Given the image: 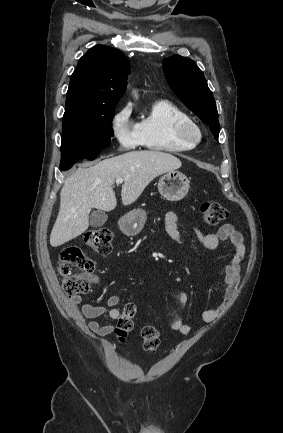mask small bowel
I'll use <instances>...</instances> for the list:
<instances>
[{"label":"small bowel","instance_id":"small-bowel-1","mask_svg":"<svg viewBox=\"0 0 283 433\" xmlns=\"http://www.w3.org/2000/svg\"><path fill=\"white\" fill-rule=\"evenodd\" d=\"M164 221L168 236L176 243H182L183 237L178 228L177 215L174 212H167ZM194 232L197 241L204 249L215 250L222 242H228L234 247L232 260L225 269V292L216 307L207 309L202 314V318L205 322H213L217 320L233 302L240 282L241 264L245 256V245L241 233L231 224L221 226L216 233H203L199 229H194ZM93 282L97 284V279H93ZM179 298L182 303H185L188 296L186 293L182 292ZM81 303L82 299L79 295L69 298L67 310L70 315L79 321L82 320V318L90 319L88 327L91 331L99 336L109 335L113 330V326L105 325L98 319L105 315L109 316L111 319H117L120 316V310L117 308V305L120 303V297L118 295H111L107 300V306H96L89 303L81 305ZM170 328L184 335L191 331V326L179 317L173 320Z\"/></svg>","mask_w":283,"mask_h":433}]
</instances>
